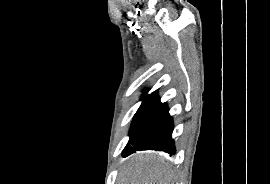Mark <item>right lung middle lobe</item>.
Returning a JSON list of instances; mask_svg holds the SVG:
<instances>
[{
	"mask_svg": "<svg viewBox=\"0 0 270 184\" xmlns=\"http://www.w3.org/2000/svg\"><path fill=\"white\" fill-rule=\"evenodd\" d=\"M148 100H149V98L143 99L141 106L139 107L138 111L136 112V114L134 116L132 125L135 122V120L137 119V117L139 116L140 112L142 111V109L144 108V106L146 105V103L148 102Z\"/></svg>",
	"mask_w": 270,
	"mask_h": 184,
	"instance_id": "1",
	"label": "right lung middle lobe"
}]
</instances>
